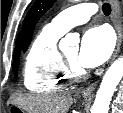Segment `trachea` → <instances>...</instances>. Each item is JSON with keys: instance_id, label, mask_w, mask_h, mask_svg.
Segmentation results:
<instances>
[{"instance_id": "obj_1", "label": "trachea", "mask_w": 123, "mask_h": 113, "mask_svg": "<svg viewBox=\"0 0 123 113\" xmlns=\"http://www.w3.org/2000/svg\"><path fill=\"white\" fill-rule=\"evenodd\" d=\"M102 11L105 15H110L111 13V6L109 3H104L102 6Z\"/></svg>"}]
</instances>
